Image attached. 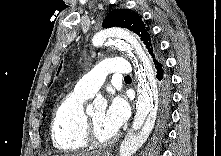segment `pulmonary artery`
I'll list each match as a JSON object with an SVG mask.
<instances>
[{
  "label": "pulmonary artery",
  "mask_w": 221,
  "mask_h": 156,
  "mask_svg": "<svg viewBox=\"0 0 221 156\" xmlns=\"http://www.w3.org/2000/svg\"><path fill=\"white\" fill-rule=\"evenodd\" d=\"M131 64L122 57L108 58L100 62L94 69L83 76L76 84L75 90L92 97L105 82L109 74L130 75Z\"/></svg>",
  "instance_id": "e3ab8cb5"
}]
</instances>
